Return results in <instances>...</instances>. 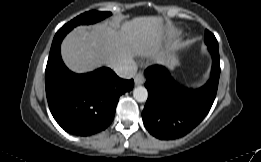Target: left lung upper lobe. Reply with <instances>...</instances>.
<instances>
[{"label": "left lung upper lobe", "mask_w": 261, "mask_h": 162, "mask_svg": "<svg viewBox=\"0 0 261 162\" xmlns=\"http://www.w3.org/2000/svg\"><path fill=\"white\" fill-rule=\"evenodd\" d=\"M205 41L209 45L218 46L215 36L208 30L205 31Z\"/></svg>", "instance_id": "1"}]
</instances>
